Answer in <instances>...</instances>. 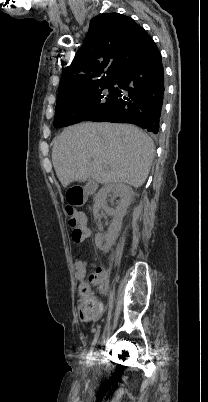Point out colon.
<instances>
[{
	"instance_id": "obj_1",
	"label": "colon",
	"mask_w": 208,
	"mask_h": 402,
	"mask_svg": "<svg viewBox=\"0 0 208 402\" xmlns=\"http://www.w3.org/2000/svg\"><path fill=\"white\" fill-rule=\"evenodd\" d=\"M66 214L67 223L71 228V239L75 242L82 241V239L86 238L88 235L87 230L84 229L82 214L71 206H67ZM76 258L81 260L82 255L77 254ZM97 284V277H84L83 282L79 283L77 300L79 301V314H81L83 318L88 317L89 314H102V300L95 299Z\"/></svg>"
}]
</instances>
